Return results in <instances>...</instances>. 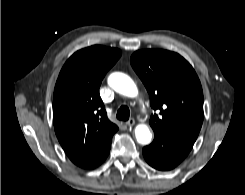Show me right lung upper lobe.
<instances>
[{"instance_id":"cb5924a9","label":"right lung upper lobe","mask_w":245,"mask_h":195,"mask_svg":"<svg viewBox=\"0 0 245 195\" xmlns=\"http://www.w3.org/2000/svg\"><path fill=\"white\" fill-rule=\"evenodd\" d=\"M121 51L94 45L74 53L64 64L53 97L56 136L70 160L91 169L103 162L118 127L109 121L99 95L107 71Z\"/></svg>"}]
</instances>
